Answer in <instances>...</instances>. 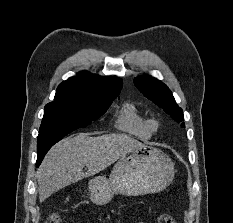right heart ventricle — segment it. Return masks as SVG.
I'll use <instances>...</instances> for the list:
<instances>
[{
  "label": "right heart ventricle",
  "instance_id": "right-heart-ventricle-1",
  "mask_svg": "<svg viewBox=\"0 0 233 223\" xmlns=\"http://www.w3.org/2000/svg\"><path fill=\"white\" fill-rule=\"evenodd\" d=\"M114 126L116 129L139 139L147 140L152 136L149 120L138 106L130 101L125 102L118 111Z\"/></svg>",
  "mask_w": 233,
  "mask_h": 223
}]
</instances>
